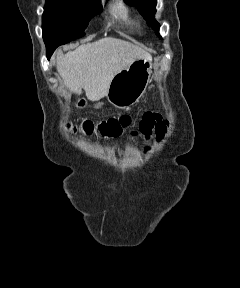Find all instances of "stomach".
Here are the masks:
<instances>
[{
  "mask_svg": "<svg viewBox=\"0 0 240 288\" xmlns=\"http://www.w3.org/2000/svg\"><path fill=\"white\" fill-rule=\"evenodd\" d=\"M151 72V61L136 59L113 77L107 93L108 101L121 109L136 104L146 91Z\"/></svg>",
  "mask_w": 240,
  "mask_h": 288,
  "instance_id": "0dacf381",
  "label": "stomach"
}]
</instances>
